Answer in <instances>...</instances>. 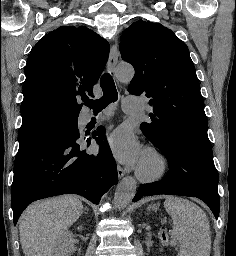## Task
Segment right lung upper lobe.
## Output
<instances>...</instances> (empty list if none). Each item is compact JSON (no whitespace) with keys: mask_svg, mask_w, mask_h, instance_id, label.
I'll use <instances>...</instances> for the list:
<instances>
[{"mask_svg":"<svg viewBox=\"0 0 236 256\" xmlns=\"http://www.w3.org/2000/svg\"><path fill=\"white\" fill-rule=\"evenodd\" d=\"M108 55V42L84 26H62L45 35L25 67L22 120L48 111L78 118L79 99L93 96Z\"/></svg>","mask_w":236,"mask_h":256,"instance_id":"right-lung-upper-lobe-1","label":"right lung upper lobe"}]
</instances>
